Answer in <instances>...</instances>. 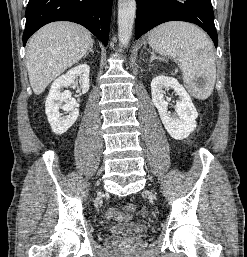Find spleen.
Listing matches in <instances>:
<instances>
[{
    "label": "spleen",
    "instance_id": "3e777b00",
    "mask_svg": "<svg viewBox=\"0 0 247 257\" xmlns=\"http://www.w3.org/2000/svg\"><path fill=\"white\" fill-rule=\"evenodd\" d=\"M149 45L180 64L184 83L193 96L206 99L211 95L216 81L214 48L200 28L180 21L164 23L150 32Z\"/></svg>",
    "mask_w": 247,
    "mask_h": 257
}]
</instances>
